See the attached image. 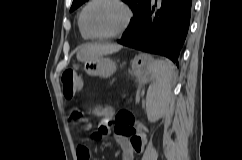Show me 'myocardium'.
I'll return each instance as SVG.
<instances>
[{"label":"myocardium","mask_w":242,"mask_h":160,"mask_svg":"<svg viewBox=\"0 0 242 160\" xmlns=\"http://www.w3.org/2000/svg\"><path fill=\"white\" fill-rule=\"evenodd\" d=\"M101 0H90L82 9L81 13H80V18H79V22L81 25V28L83 29V31L90 37L93 39H113L116 38L118 36L123 35L127 29L129 28L131 21H132V17H133V12L130 8V6L124 1V0H109L112 1L116 4H118L124 11L125 14V19L124 22L122 24V26L111 33L108 34H94L92 32H90L88 30V28L85 25V13L87 11V9L94 3L99 2Z\"/></svg>","instance_id":"1"}]
</instances>
